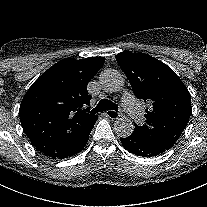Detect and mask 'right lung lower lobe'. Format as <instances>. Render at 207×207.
<instances>
[{
	"label": "right lung lower lobe",
	"instance_id": "98d812e1",
	"mask_svg": "<svg viewBox=\"0 0 207 207\" xmlns=\"http://www.w3.org/2000/svg\"><path fill=\"white\" fill-rule=\"evenodd\" d=\"M97 119H95L90 124V126L85 130V132H83V134L76 141H74L73 143L65 147L64 150L61 151L60 153H55L53 155H50L49 157L64 159V158L73 156L77 154L78 152H80L86 146L88 139H89L90 132Z\"/></svg>",
	"mask_w": 207,
	"mask_h": 207
}]
</instances>
